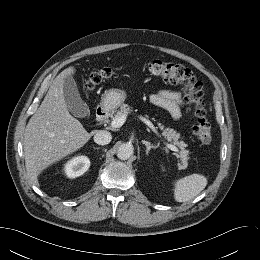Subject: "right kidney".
Wrapping results in <instances>:
<instances>
[{
	"mask_svg": "<svg viewBox=\"0 0 260 260\" xmlns=\"http://www.w3.org/2000/svg\"><path fill=\"white\" fill-rule=\"evenodd\" d=\"M90 167V160L86 156L72 158L64 166L65 174L69 178H76L83 175Z\"/></svg>",
	"mask_w": 260,
	"mask_h": 260,
	"instance_id": "obj_1",
	"label": "right kidney"
}]
</instances>
